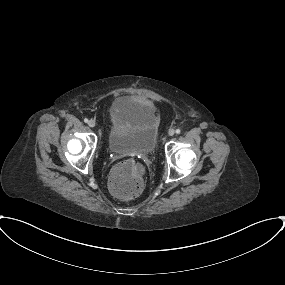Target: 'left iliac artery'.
I'll return each instance as SVG.
<instances>
[{
  "instance_id": "1",
  "label": "left iliac artery",
  "mask_w": 285,
  "mask_h": 285,
  "mask_svg": "<svg viewBox=\"0 0 285 285\" xmlns=\"http://www.w3.org/2000/svg\"><path fill=\"white\" fill-rule=\"evenodd\" d=\"M181 132L180 129H176V133L179 134Z\"/></svg>"
}]
</instances>
